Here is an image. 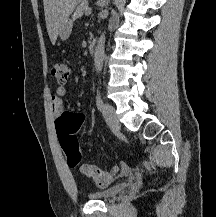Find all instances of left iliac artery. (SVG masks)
I'll list each match as a JSON object with an SVG mask.
<instances>
[{
  "label": "left iliac artery",
  "mask_w": 216,
  "mask_h": 217,
  "mask_svg": "<svg viewBox=\"0 0 216 217\" xmlns=\"http://www.w3.org/2000/svg\"><path fill=\"white\" fill-rule=\"evenodd\" d=\"M96 105L100 111L103 109V100L99 90H97V94H96Z\"/></svg>",
  "instance_id": "1"
}]
</instances>
